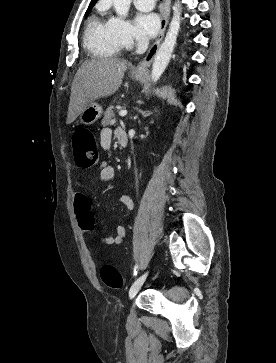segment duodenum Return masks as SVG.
<instances>
[{"instance_id":"obj_1","label":"duodenum","mask_w":276,"mask_h":363,"mask_svg":"<svg viewBox=\"0 0 276 363\" xmlns=\"http://www.w3.org/2000/svg\"><path fill=\"white\" fill-rule=\"evenodd\" d=\"M118 141L122 147H126L128 143V138L126 132H120L117 136Z\"/></svg>"}]
</instances>
